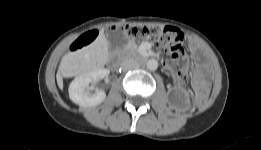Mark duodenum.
Instances as JSON below:
<instances>
[{
	"instance_id": "410a0bca",
	"label": "duodenum",
	"mask_w": 261,
	"mask_h": 150,
	"mask_svg": "<svg viewBox=\"0 0 261 150\" xmlns=\"http://www.w3.org/2000/svg\"><path fill=\"white\" fill-rule=\"evenodd\" d=\"M110 64H111V67H112L113 69H117V68L119 67V64H120V59H119V57H118V56L113 57Z\"/></svg>"
}]
</instances>
